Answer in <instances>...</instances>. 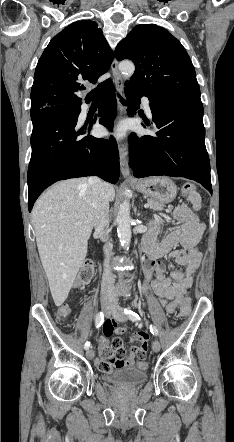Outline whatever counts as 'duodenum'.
<instances>
[{"label": "duodenum", "instance_id": "1", "mask_svg": "<svg viewBox=\"0 0 234 442\" xmlns=\"http://www.w3.org/2000/svg\"><path fill=\"white\" fill-rule=\"evenodd\" d=\"M148 241L147 240H145V239H143V241H142V250L144 251V252H147V249H148Z\"/></svg>", "mask_w": 234, "mask_h": 442}]
</instances>
